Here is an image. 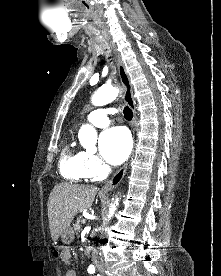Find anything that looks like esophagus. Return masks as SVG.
I'll use <instances>...</instances> for the list:
<instances>
[{"instance_id":"1","label":"esophagus","mask_w":221,"mask_h":276,"mask_svg":"<svg viewBox=\"0 0 221 276\" xmlns=\"http://www.w3.org/2000/svg\"><path fill=\"white\" fill-rule=\"evenodd\" d=\"M112 49H113V53H114V56H115L116 61H117V68H118L119 77H120L121 83H122L123 88H124V101L130 107V109L133 112L132 126H133V133H135L136 106H135V101H134V98H133L132 86H131V83H130L129 76L126 72L124 63H123V61L120 57V54L118 53L116 47L114 46V44H112ZM128 163H129V160L117 171V173L113 176V178L111 180H109L102 187L103 192H108V191L114 189L121 182V180L123 179V177H124V175L127 171Z\"/></svg>"}]
</instances>
